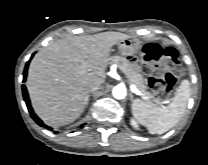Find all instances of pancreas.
<instances>
[{
	"mask_svg": "<svg viewBox=\"0 0 208 165\" xmlns=\"http://www.w3.org/2000/svg\"><path fill=\"white\" fill-rule=\"evenodd\" d=\"M111 63L118 64L120 70L126 75V77L131 82H133L136 85V87L142 92L144 96H146L148 99H151L156 103H160V99L155 98L154 95H152L150 92L147 91L145 79L139 73V71L137 70L134 64L129 62L127 59L119 56H113L111 58Z\"/></svg>",
	"mask_w": 208,
	"mask_h": 165,
	"instance_id": "1",
	"label": "pancreas"
}]
</instances>
